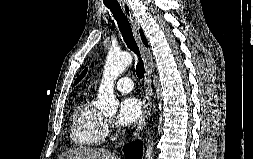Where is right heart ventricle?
<instances>
[{
    "label": "right heart ventricle",
    "instance_id": "e07e8e85",
    "mask_svg": "<svg viewBox=\"0 0 253 159\" xmlns=\"http://www.w3.org/2000/svg\"><path fill=\"white\" fill-rule=\"evenodd\" d=\"M106 137V119L96 110L89 98L82 100L70 117V139L79 147H95Z\"/></svg>",
    "mask_w": 253,
    "mask_h": 159
}]
</instances>
